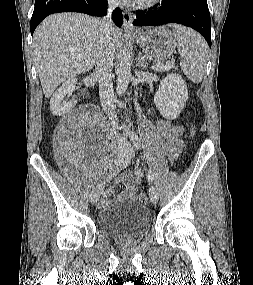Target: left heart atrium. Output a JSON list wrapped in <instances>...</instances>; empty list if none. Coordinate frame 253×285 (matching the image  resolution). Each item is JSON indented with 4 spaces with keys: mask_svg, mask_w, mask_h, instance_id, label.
I'll return each mask as SVG.
<instances>
[{
    "mask_svg": "<svg viewBox=\"0 0 253 285\" xmlns=\"http://www.w3.org/2000/svg\"><path fill=\"white\" fill-rule=\"evenodd\" d=\"M126 1H130V0H126ZM134 1H138V0H134Z\"/></svg>",
    "mask_w": 253,
    "mask_h": 285,
    "instance_id": "1",
    "label": "left heart atrium"
}]
</instances>
